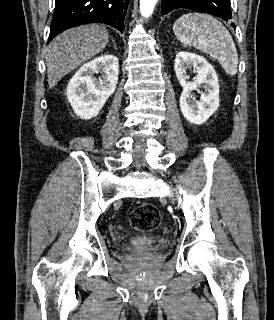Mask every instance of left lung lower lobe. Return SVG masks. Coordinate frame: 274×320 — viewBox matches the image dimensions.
I'll return each instance as SVG.
<instances>
[{
	"instance_id": "obj_1",
	"label": "left lung lower lobe",
	"mask_w": 274,
	"mask_h": 320,
	"mask_svg": "<svg viewBox=\"0 0 274 320\" xmlns=\"http://www.w3.org/2000/svg\"><path fill=\"white\" fill-rule=\"evenodd\" d=\"M162 13L186 8L193 11L209 13L218 16L226 21L232 19L230 0H162ZM231 25L234 26L232 23Z\"/></svg>"
}]
</instances>
